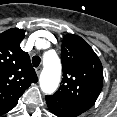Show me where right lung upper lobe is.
I'll list each match as a JSON object with an SVG mask.
<instances>
[{"label":"right lung upper lobe","mask_w":117,"mask_h":117,"mask_svg":"<svg viewBox=\"0 0 117 117\" xmlns=\"http://www.w3.org/2000/svg\"><path fill=\"white\" fill-rule=\"evenodd\" d=\"M25 31L9 29L0 34V115L13 109L24 91L38 81L29 55L21 50Z\"/></svg>","instance_id":"cb5924a9"}]
</instances>
